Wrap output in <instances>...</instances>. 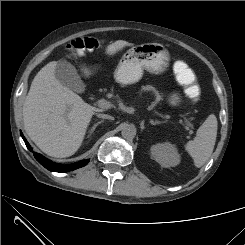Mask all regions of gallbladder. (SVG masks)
<instances>
[{
  "label": "gallbladder",
  "mask_w": 245,
  "mask_h": 245,
  "mask_svg": "<svg viewBox=\"0 0 245 245\" xmlns=\"http://www.w3.org/2000/svg\"><path fill=\"white\" fill-rule=\"evenodd\" d=\"M55 76L62 85L70 90L78 93L84 92L85 85L75 67L69 62H58L55 68Z\"/></svg>",
  "instance_id": "gallbladder-1"
}]
</instances>
